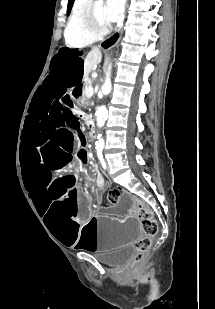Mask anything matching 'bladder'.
<instances>
[{"label": "bladder", "instance_id": "31cf9c89", "mask_svg": "<svg viewBox=\"0 0 215 309\" xmlns=\"http://www.w3.org/2000/svg\"><path fill=\"white\" fill-rule=\"evenodd\" d=\"M136 251L133 246H125L115 252L97 255V260L110 267H121L130 262Z\"/></svg>", "mask_w": 215, "mask_h": 309}]
</instances>
